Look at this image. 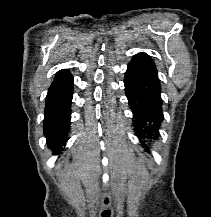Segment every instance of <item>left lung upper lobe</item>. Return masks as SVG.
Masks as SVG:
<instances>
[{
	"mask_svg": "<svg viewBox=\"0 0 211 217\" xmlns=\"http://www.w3.org/2000/svg\"><path fill=\"white\" fill-rule=\"evenodd\" d=\"M129 64L143 69L144 71L148 72L149 74L155 76L158 79V74L154 61L146 53L136 54Z\"/></svg>",
	"mask_w": 211,
	"mask_h": 217,
	"instance_id": "obj_1",
	"label": "left lung upper lobe"
}]
</instances>
